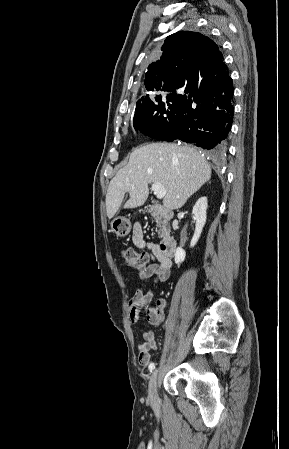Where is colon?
Listing matches in <instances>:
<instances>
[{"mask_svg": "<svg viewBox=\"0 0 289 449\" xmlns=\"http://www.w3.org/2000/svg\"><path fill=\"white\" fill-rule=\"evenodd\" d=\"M121 256L125 263L135 269L143 270L149 266L150 256L146 252L138 251L132 247L121 250Z\"/></svg>", "mask_w": 289, "mask_h": 449, "instance_id": "obj_1", "label": "colon"}]
</instances>
